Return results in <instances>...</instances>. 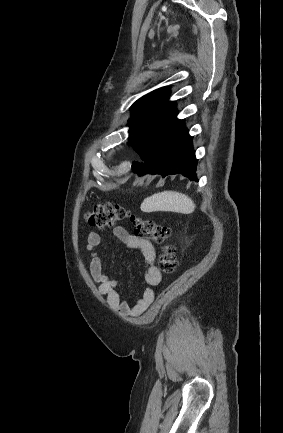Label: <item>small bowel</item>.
Returning a JSON list of instances; mask_svg holds the SVG:
<instances>
[{
    "mask_svg": "<svg viewBox=\"0 0 283 433\" xmlns=\"http://www.w3.org/2000/svg\"><path fill=\"white\" fill-rule=\"evenodd\" d=\"M114 236L120 243L131 249H139L146 263L145 281L150 286H156L161 281V273L155 264L156 252L152 243L148 240L131 235L125 228L118 226L113 229ZM103 238L97 232H89L85 249L90 252V274L98 285L99 292L106 296L109 307L123 317H137L141 315L154 299L152 289H146L133 306L124 300L116 291L117 280L112 278L106 271L101 256L96 248L101 244Z\"/></svg>",
    "mask_w": 283,
    "mask_h": 433,
    "instance_id": "c3829d8e",
    "label": "small bowel"
}]
</instances>
